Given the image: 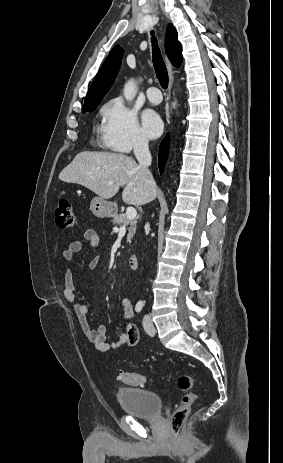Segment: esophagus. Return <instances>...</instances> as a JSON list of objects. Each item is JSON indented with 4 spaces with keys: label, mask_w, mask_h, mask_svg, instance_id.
I'll list each match as a JSON object with an SVG mask.
<instances>
[{
    "label": "esophagus",
    "mask_w": 283,
    "mask_h": 463,
    "mask_svg": "<svg viewBox=\"0 0 283 463\" xmlns=\"http://www.w3.org/2000/svg\"><path fill=\"white\" fill-rule=\"evenodd\" d=\"M165 61H166V65H167L168 73H169V94H170L173 83H174L173 66L171 62L169 61V59L167 58V56L165 57Z\"/></svg>",
    "instance_id": "34e87169"
}]
</instances>
